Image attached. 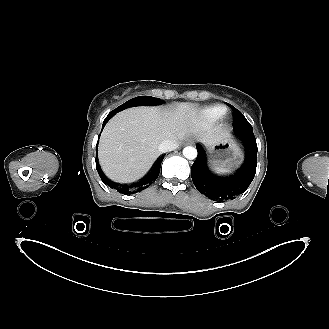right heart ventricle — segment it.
Segmentation results:
<instances>
[{"label": "right heart ventricle", "mask_w": 329, "mask_h": 329, "mask_svg": "<svg viewBox=\"0 0 329 329\" xmlns=\"http://www.w3.org/2000/svg\"><path fill=\"white\" fill-rule=\"evenodd\" d=\"M223 113H224V108L220 106L211 107L204 111V115L210 120L218 119L223 115Z\"/></svg>", "instance_id": "e07e8e85"}]
</instances>
